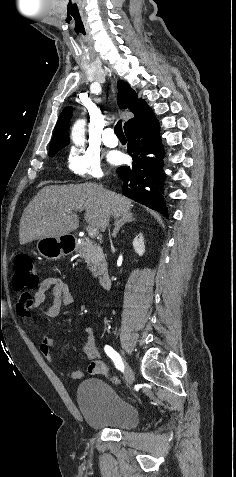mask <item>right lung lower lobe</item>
Masks as SVG:
<instances>
[{
  "label": "right lung lower lobe",
  "instance_id": "98d812e1",
  "mask_svg": "<svg viewBox=\"0 0 236 477\" xmlns=\"http://www.w3.org/2000/svg\"><path fill=\"white\" fill-rule=\"evenodd\" d=\"M125 134L128 139L127 151L133 163L131 166L117 169L123 181L124 195L167 217L161 194L165 176L162 173L164 152L158 121L155 119L150 123L132 127ZM148 154H155L156 158L147 157ZM145 187H150L151 191H147Z\"/></svg>",
  "mask_w": 236,
  "mask_h": 477
}]
</instances>
